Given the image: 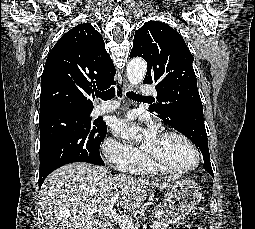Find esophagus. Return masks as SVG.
I'll return each instance as SVG.
<instances>
[{
	"instance_id": "34e87169",
	"label": "esophagus",
	"mask_w": 255,
	"mask_h": 229,
	"mask_svg": "<svg viewBox=\"0 0 255 229\" xmlns=\"http://www.w3.org/2000/svg\"><path fill=\"white\" fill-rule=\"evenodd\" d=\"M131 90H132V86L127 81H124V83H123V91L124 92H128V91H131Z\"/></svg>"
}]
</instances>
